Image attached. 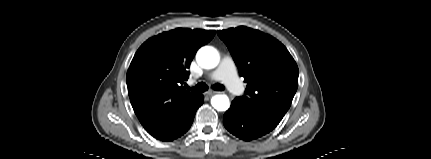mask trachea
<instances>
[{
	"instance_id": "obj_1",
	"label": "trachea",
	"mask_w": 431,
	"mask_h": 159,
	"mask_svg": "<svg viewBox=\"0 0 431 159\" xmlns=\"http://www.w3.org/2000/svg\"><path fill=\"white\" fill-rule=\"evenodd\" d=\"M212 88L216 91H223L224 90V86L222 84H218V83L214 84L212 86ZM191 90L195 93H203V92L208 90V86L204 82H200L195 87L191 88Z\"/></svg>"
}]
</instances>
